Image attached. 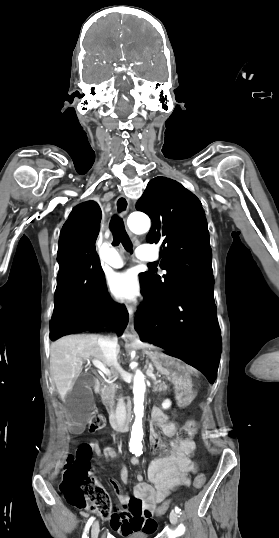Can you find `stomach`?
Returning <instances> with one entry per match:
<instances>
[{
	"mask_svg": "<svg viewBox=\"0 0 279 538\" xmlns=\"http://www.w3.org/2000/svg\"><path fill=\"white\" fill-rule=\"evenodd\" d=\"M148 356L151 364H154L157 374H162L163 378L169 379V382H179L178 386H174V389L180 391L183 405L194 404L198 395L196 390H193V385L189 383V363H183L182 358H176L175 353L148 352Z\"/></svg>",
	"mask_w": 279,
	"mask_h": 538,
	"instance_id": "stomach-1",
	"label": "stomach"
}]
</instances>
